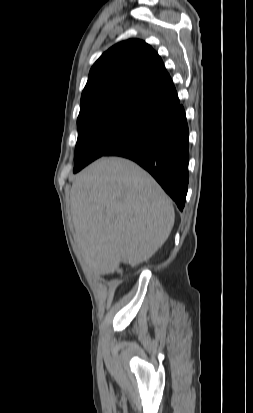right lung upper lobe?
Returning <instances> with one entry per match:
<instances>
[{
    "label": "right lung upper lobe",
    "mask_w": 253,
    "mask_h": 413,
    "mask_svg": "<svg viewBox=\"0 0 253 413\" xmlns=\"http://www.w3.org/2000/svg\"><path fill=\"white\" fill-rule=\"evenodd\" d=\"M180 105L162 59L138 39L111 47L92 66L82 92L79 117L123 107L151 115Z\"/></svg>",
    "instance_id": "obj_1"
}]
</instances>
